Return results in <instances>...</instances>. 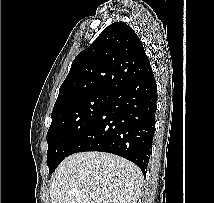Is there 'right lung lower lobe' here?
Returning <instances> with one entry per match:
<instances>
[{"mask_svg":"<svg viewBox=\"0 0 214 203\" xmlns=\"http://www.w3.org/2000/svg\"><path fill=\"white\" fill-rule=\"evenodd\" d=\"M156 99L152 70L111 92L69 155L85 151L116 154L139 166L145 176L155 131Z\"/></svg>","mask_w":214,"mask_h":203,"instance_id":"obj_1","label":"right lung lower lobe"}]
</instances>
